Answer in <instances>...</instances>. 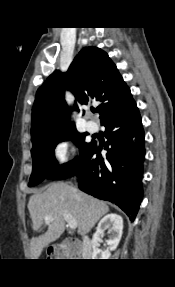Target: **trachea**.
<instances>
[{
  "mask_svg": "<svg viewBox=\"0 0 175 287\" xmlns=\"http://www.w3.org/2000/svg\"><path fill=\"white\" fill-rule=\"evenodd\" d=\"M92 112H93V113H95V112H96V110H92Z\"/></svg>",
  "mask_w": 175,
  "mask_h": 287,
  "instance_id": "obj_1",
  "label": "trachea"
}]
</instances>
